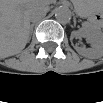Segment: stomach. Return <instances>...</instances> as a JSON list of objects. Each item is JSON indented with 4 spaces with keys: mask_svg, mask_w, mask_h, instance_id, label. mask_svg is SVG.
Here are the masks:
<instances>
[{
    "mask_svg": "<svg viewBox=\"0 0 103 103\" xmlns=\"http://www.w3.org/2000/svg\"><path fill=\"white\" fill-rule=\"evenodd\" d=\"M92 4L90 2H79L76 4L78 11H82V9H90Z\"/></svg>",
    "mask_w": 103,
    "mask_h": 103,
    "instance_id": "obj_1",
    "label": "stomach"
}]
</instances>
